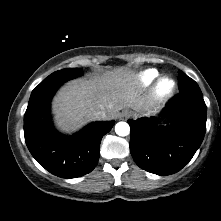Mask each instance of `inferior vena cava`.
Segmentation results:
<instances>
[{
    "mask_svg": "<svg viewBox=\"0 0 221 221\" xmlns=\"http://www.w3.org/2000/svg\"><path fill=\"white\" fill-rule=\"evenodd\" d=\"M92 116L95 120H103V119H106V117H107L106 113L101 110L94 111Z\"/></svg>",
    "mask_w": 221,
    "mask_h": 221,
    "instance_id": "inferior-vena-cava-1",
    "label": "inferior vena cava"
}]
</instances>
